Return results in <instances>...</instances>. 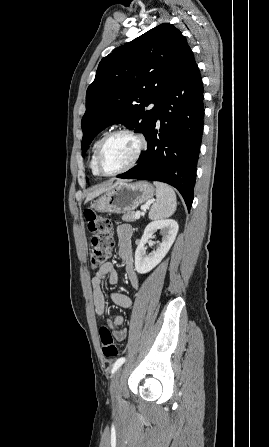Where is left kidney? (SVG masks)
I'll return each instance as SVG.
<instances>
[{"mask_svg": "<svg viewBox=\"0 0 269 447\" xmlns=\"http://www.w3.org/2000/svg\"><path fill=\"white\" fill-rule=\"evenodd\" d=\"M160 229L163 237L161 243H158V247L153 249L151 253H146L147 243L150 237H154L153 233ZM178 231V224L175 220H158V222H151L146 225L144 233L138 243L135 251V269L138 273H147L150 269H153L157 263H160L161 259L165 257L167 251H169Z\"/></svg>", "mask_w": 269, "mask_h": 447, "instance_id": "5707ae66", "label": "left kidney"}]
</instances>
